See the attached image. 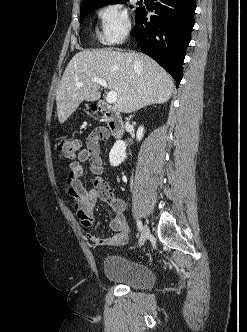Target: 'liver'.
I'll return each mask as SVG.
<instances>
[{"label":"liver","instance_id":"1","mask_svg":"<svg viewBox=\"0 0 247 332\" xmlns=\"http://www.w3.org/2000/svg\"><path fill=\"white\" fill-rule=\"evenodd\" d=\"M101 78L117 93L114 108L131 113L150 104L167 102L174 89L173 78L143 53L111 49L83 50L68 63L56 93L58 120L62 124L83 101L101 97ZM83 86L78 87V84Z\"/></svg>","mask_w":247,"mask_h":332}]
</instances>
